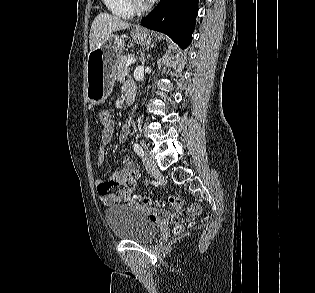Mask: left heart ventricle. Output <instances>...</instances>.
<instances>
[{
	"label": "left heart ventricle",
	"mask_w": 315,
	"mask_h": 293,
	"mask_svg": "<svg viewBox=\"0 0 315 293\" xmlns=\"http://www.w3.org/2000/svg\"><path fill=\"white\" fill-rule=\"evenodd\" d=\"M140 3H146L147 0H138Z\"/></svg>",
	"instance_id": "b2bd125f"
}]
</instances>
